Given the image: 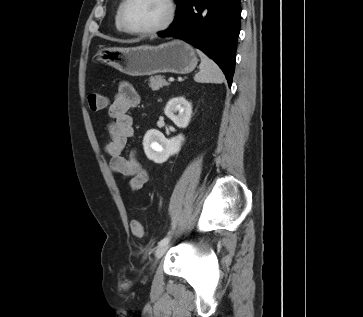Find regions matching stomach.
<instances>
[{"label": "stomach", "mask_w": 363, "mask_h": 317, "mask_svg": "<svg viewBox=\"0 0 363 317\" xmlns=\"http://www.w3.org/2000/svg\"><path fill=\"white\" fill-rule=\"evenodd\" d=\"M97 60L131 76L166 72L187 74L198 63L193 47L182 40L158 46L100 49Z\"/></svg>", "instance_id": "obj_1"}]
</instances>
